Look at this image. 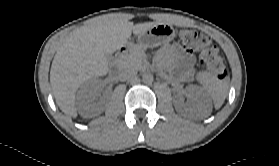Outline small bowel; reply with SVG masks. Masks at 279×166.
I'll list each match as a JSON object with an SVG mask.
<instances>
[{"mask_svg":"<svg viewBox=\"0 0 279 166\" xmlns=\"http://www.w3.org/2000/svg\"><path fill=\"white\" fill-rule=\"evenodd\" d=\"M161 58H178L186 68H191L194 63V58L191 54L187 53L178 43H173L163 48L159 53Z\"/></svg>","mask_w":279,"mask_h":166,"instance_id":"obj_1","label":"small bowel"}]
</instances>
